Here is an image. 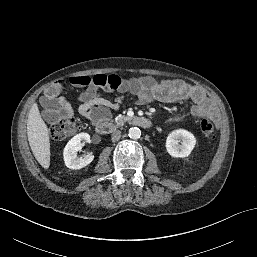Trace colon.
Segmentation results:
<instances>
[{
    "label": "colon",
    "instance_id": "5ec220e1",
    "mask_svg": "<svg viewBox=\"0 0 257 257\" xmlns=\"http://www.w3.org/2000/svg\"><path fill=\"white\" fill-rule=\"evenodd\" d=\"M65 81H59L60 84H63ZM70 82L76 85H86L88 79L83 76H77L70 78ZM52 91L55 93L58 91L57 87H54ZM81 129L79 121L73 117L69 109L64 108L60 112L59 119L54 122L50 129V136L52 139L57 141H62L70 138ZM200 129L203 135L209 139L214 138V126L213 123L208 118H203L200 122Z\"/></svg>",
    "mask_w": 257,
    "mask_h": 257
}]
</instances>
